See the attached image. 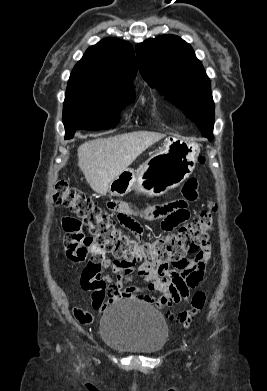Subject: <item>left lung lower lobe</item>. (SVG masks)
Segmentation results:
<instances>
[{"label":"left lung lower lobe","instance_id":"left-lung-lower-lobe-1","mask_svg":"<svg viewBox=\"0 0 267 391\" xmlns=\"http://www.w3.org/2000/svg\"><path fill=\"white\" fill-rule=\"evenodd\" d=\"M203 136L208 137L210 140L212 139L211 133H205Z\"/></svg>","mask_w":267,"mask_h":391}]
</instances>
